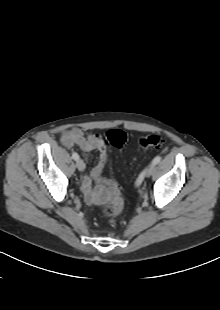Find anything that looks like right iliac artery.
<instances>
[{
  "instance_id": "82829eb1",
  "label": "right iliac artery",
  "mask_w": 220,
  "mask_h": 310,
  "mask_svg": "<svg viewBox=\"0 0 220 310\" xmlns=\"http://www.w3.org/2000/svg\"><path fill=\"white\" fill-rule=\"evenodd\" d=\"M72 158H73L74 160H78V159H79V155H78L76 152H74V153L72 154Z\"/></svg>"
}]
</instances>
